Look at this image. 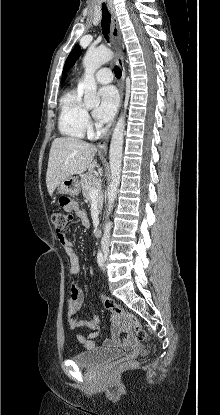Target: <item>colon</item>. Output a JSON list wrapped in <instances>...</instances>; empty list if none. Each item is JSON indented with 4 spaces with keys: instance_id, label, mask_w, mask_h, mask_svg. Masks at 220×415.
Wrapping results in <instances>:
<instances>
[{
    "instance_id": "5ec220e1",
    "label": "colon",
    "mask_w": 220,
    "mask_h": 415,
    "mask_svg": "<svg viewBox=\"0 0 220 415\" xmlns=\"http://www.w3.org/2000/svg\"><path fill=\"white\" fill-rule=\"evenodd\" d=\"M69 218H70V215L66 211L56 210L51 213V222L54 228L56 229V231L58 232V234L62 233L63 229L68 224ZM101 301H102L104 308L110 311L114 315V317L118 319H123L129 322L133 326L135 333L137 335V338L140 341L147 340L146 331L144 330L140 320L132 312L124 309L123 307L115 303L111 298L105 295L101 296ZM125 365L133 366L134 363L128 362Z\"/></svg>"
}]
</instances>
